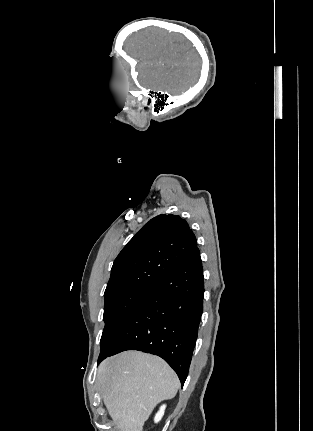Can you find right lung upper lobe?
I'll return each instance as SVG.
<instances>
[{
	"instance_id": "right-lung-upper-lobe-1",
	"label": "right lung upper lobe",
	"mask_w": 313,
	"mask_h": 431,
	"mask_svg": "<svg viewBox=\"0 0 313 431\" xmlns=\"http://www.w3.org/2000/svg\"><path fill=\"white\" fill-rule=\"evenodd\" d=\"M196 247V237L185 220L175 215L154 217L115 259L104 296L131 290H153Z\"/></svg>"
}]
</instances>
